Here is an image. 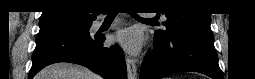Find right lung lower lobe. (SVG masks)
<instances>
[{"label": "right lung lower lobe", "instance_id": "obj_1", "mask_svg": "<svg viewBox=\"0 0 255 79\" xmlns=\"http://www.w3.org/2000/svg\"><path fill=\"white\" fill-rule=\"evenodd\" d=\"M93 20L87 22L86 31L54 30L38 34L28 79H32L45 66L56 62L86 66L105 79H126L123 51L118 46L103 47V35L89 34Z\"/></svg>", "mask_w": 255, "mask_h": 79}]
</instances>
